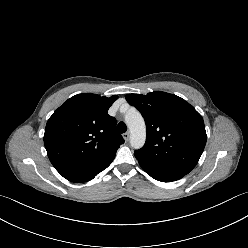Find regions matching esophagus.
<instances>
[{
    "mask_svg": "<svg viewBox=\"0 0 248 248\" xmlns=\"http://www.w3.org/2000/svg\"><path fill=\"white\" fill-rule=\"evenodd\" d=\"M123 138H124L125 141H128L129 138H130V133L129 132L124 133Z\"/></svg>",
    "mask_w": 248,
    "mask_h": 248,
    "instance_id": "1",
    "label": "esophagus"
}]
</instances>
